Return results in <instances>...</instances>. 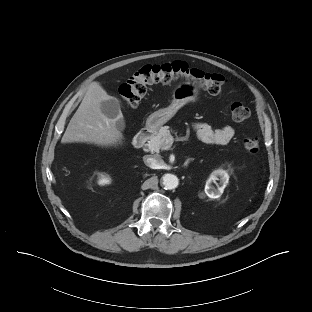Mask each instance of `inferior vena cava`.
<instances>
[{
	"label": "inferior vena cava",
	"instance_id": "inferior-vena-cava-1",
	"mask_svg": "<svg viewBox=\"0 0 312 312\" xmlns=\"http://www.w3.org/2000/svg\"><path fill=\"white\" fill-rule=\"evenodd\" d=\"M143 161L146 166L152 169H160L164 164V161L159 156L146 155L143 157Z\"/></svg>",
	"mask_w": 312,
	"mask_h": 312
}]
</instances>
